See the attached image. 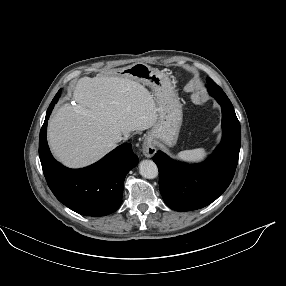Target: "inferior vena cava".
<instances>
[{
    "label": "inferior vena cava",
    "instance_id": "1",
    "mask_svg": "<svg viewBox=\"0 0 286 286\" xmlns=\"http://www.w3.org/2000/svg\"><path fill=\"white\" fill-rule=\"evenodd\" d=\"M123 140V137H118L117 139H116V142H120V141H122Z\"/></svg>",
    "mask_w": 286,
    "mask_h": 286
}]
</instances>
